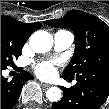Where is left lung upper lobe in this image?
<instances>
[{
	"label": "left lung upper lobe",
	"instance_id": "1",
	"mask_svg": "<svg viewBox=\"0 0 109 109\" xmlns=\"http://www.w3.org/2000/svg\"><path fill=\"white\" fill-rule=\"evenodd\" d=\"M45 23L69 28L75 34V52L62 76L73 78L88 69H109V26L105 22L83 11L71 10L63 18Z\"/></svg>",
	"mask_w": 109,
	"mask_h": 109
}]
</instances>
